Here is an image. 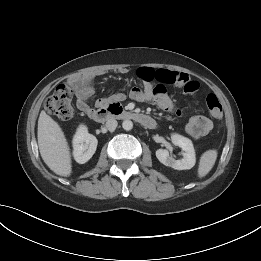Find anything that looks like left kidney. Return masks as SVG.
Wrapping results in <instances>:
<instances>
[{
	"label": "left kidney",
	"instance_id": "5707ae66",
	"mask_svg": "<svg viewBox=\"0 0 261 261\" xmlns=\"http://www.w3.org/2000/svg\"><path fill=\"white\" fill-rule=\"evenodd\" d=\"M171 141L174 145L182 148L183 158L175 160L169 155V151L166 149H158L156 151L157 159L164 164L176 170H186L191 169L196 162L195 150L192 144V141L184 136L179 134H173L171 136Z\"/></svg>",
	"mask_w": 261,
	"mask_h": 261
}]
</instances>
